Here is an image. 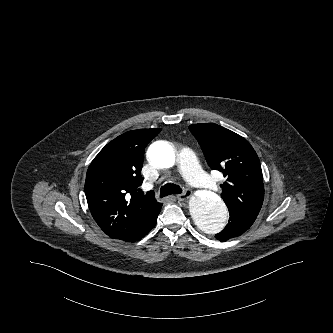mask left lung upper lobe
Masks as SVG:
<instances>
[{
	"label": "left lung upper lobe",
	"mask_w": 333,
	"mask_h": 333,
	"mask_svg": "<svg viewBox=\"0 0 333 333\" xmlns=\"http://www.w3.org/2000/svg\"><path fill=\"white\" fill-rule=\"evenodd\" d=\"M189 129L208 165L227 178L221 185V197L229 213L256 219L264 200V186L260 161L250 143L214 123L194 124Z\"/></svg>",
	"instance_id": "5c2ea615"
}]
</instances>
